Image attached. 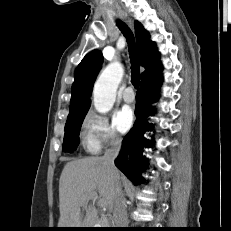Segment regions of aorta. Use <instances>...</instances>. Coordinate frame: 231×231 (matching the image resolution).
Here are the masks:
<instances>
[{
	"label": "aorta",
	"instance_id": "obj_1",
	"mask_svg": "<svg viewBox=\"0 0 231 231\" xmlns=\"http://www.w3.org/2000/svg\"><path fill=\"white\" fill-rule=\"evenodd\" d=\"M124 69L118 62L110 63L97 79L93 90L94 107L99 113L109 112L116 99V91Z\"/></svg>",
	"mask_w": 231,
	"mask_h": 231
}]
</instances>
